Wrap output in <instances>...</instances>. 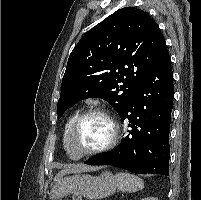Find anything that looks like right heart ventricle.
<instances>
[{
    "instance_id": "obj_1",
    "label": "right heart ventricle",
    "mask_w": 201,
    "mask_h": 200,
    "mask_svg": "<svg viewBox=\"0 0 201 200\" xmlns=\"http://www.w3.org/2000/svg\"><path fill=\"white\" fill-rule=\"evenodd\" d=\"M74 119H75V116L71 117V118L67 121V123H66V125H65V127H64L63 135H62V145H63V149H64V151H65L66 153H67V150H66V145H65V138H66L67 131H68V129H69V127H70V125L72 124V122H73ZM67 154H68V153H67Z\"/></svg>"
}]
</instances>
